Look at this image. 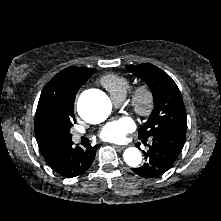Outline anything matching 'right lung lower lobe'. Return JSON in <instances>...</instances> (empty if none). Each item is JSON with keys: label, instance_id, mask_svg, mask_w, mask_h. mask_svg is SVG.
Returning <instances> with one entry per match:
<instances>
[{"label": "right lung lower lobe", "instance_id": "obj_1", "mask_svg": "<svg viewBox=\"0 0 221 221\" xmlns=\"http://www.w3.org/2000/svg\"><path fill=\"white\" fill-rule=\"evenodd\" d=\"M90 144L81 148L73 146L72 140L59 143L48 153L43 154L51 168L65 178H72L85 172L93 163L95 150Z\"/></svg>", "mask_w": 221, "mask_h": 221}]
</instances>
